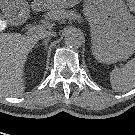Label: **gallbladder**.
<instances>
[{
	"label": "gallbladder",
	"instance_id": "bac80fb5",
	"mask_svg": "<svg viewBox=\"0 0 135 135\" xmlns=\"http://www.w3.org/2000/svg\"><path fill=\"white\" fill-rule=\"evenodd\" d=\"M1 1H2V2L4 1V2L2 3V6H4L5 3H6V0H0V2H1ZM7 1H8V0H7ZM1 18H2V17H1V15H0V19H1Z\"/></svg>",
	"mask_w": 135,
	"mask_h": 135
}]
</instances>
